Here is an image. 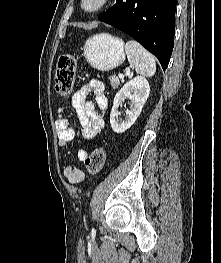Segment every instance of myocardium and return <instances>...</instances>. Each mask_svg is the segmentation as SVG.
<instances>
[{
	"label": "myocardium",
	"instance_id": "myocardium-1",
	"mask_svg": "<svg viewBox=\"0 0 221 263\" xmlns=\"http://www.w3.org/2000/svg\"><path fill=\"white\" fill-rule=\"evenodd\" d=\"M111 1L112 0H97V3L93 7H88V0H81L80 6L84 12L88 14H95L105 9L111 3Z\"/></svg>",
	"mask_w": 221,
	"mask_h": 263
}]
</instances>
